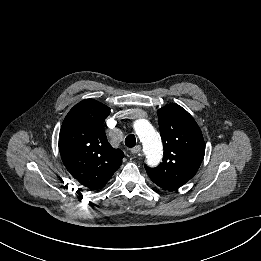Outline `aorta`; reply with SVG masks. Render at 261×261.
<instances>
[{
    "instance_id": "obj_1",
    "label": "aorta",
    "mask_w": 261,
    "mask_h": 261,
    "mask_svg": "<svg viewBox=\"0 0 261 261\" xmlns=\"http://www.w3.org/2000/svg\"><path fill=\"white\" fill-rule=\"evenodd\" d=\"M134 129L143 144L148 165H158L163 154V146L158 133L145 119L135 121Z\"/></svg>"
}]
</instances>
